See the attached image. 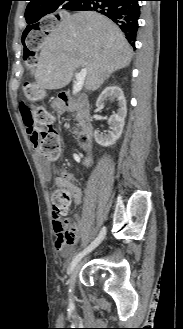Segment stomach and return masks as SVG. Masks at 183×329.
I'll return each mask as SVG.
<instances>
[{
	"instance_id": "0dacf381",
	"label": "stomach",
	"mask_w": 183,
	"mask_h": 329,
	"mask_svg": "<svg viewBox=\"0 0 183 329\" xmlns=\"http://www.w3.org/2000/svg\"><path fill=\"white\" fill-rule=\"evenodd\" d=\"M61 107H62V105L60 104L59 101H57V100L53 101V103H52L53 109L57 110L58 112H61Z\"/></svg>"
}]
</instances>
